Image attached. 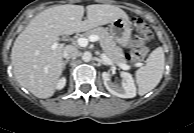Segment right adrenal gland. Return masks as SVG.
<instances>
[{
	"label": "right adrenal gland",
	"mask_w": 194,
	"mask_h": 133,
	"mask_svg": "<svg viewBox=\"0 0 194 133\" xmlns=\"http://www.w3.org/2000/svg\"><path fill=\"white\" fill-rule=\"evenodd\" d=\"M68 62H69L68 60H65V61L63 62V69H65L66 64H67Z\"/></svg>",
	"instance_id": "obj_1"
}]
</instances>
